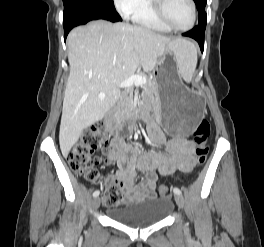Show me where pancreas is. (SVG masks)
<instances>
[{
    "label": "pancreas",
    "mask_w": 264,
    "mask_h": 247,
    "mask_svg": "<svg viewBox=\"0 0 264 247\" xmlns=\"http://www.w3.org/2000/svg\"><path fill=\"white\" fill-rule=\"evenodd\" d=\"M141 76L147 79L146 84L143 86L145 92L147 93L151 102H156L158 97V87L156 81L154 79L148 78L145 74H141ZM134 110L135 102L133 88L130 87L121 94L117 102L116 117L119 121H125L132 116Z\"/></svg>",
    "instance_id": "1"
}]
</instances>
